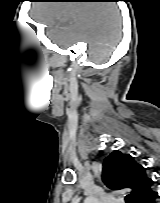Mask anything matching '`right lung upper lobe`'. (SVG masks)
I'll return each mask as SVG.
<instances>
[{"label": "right lung upper lobe", "instance_id": "cb5924a9", "mask_svg": "<svg viewBox=\"0 0 160 203\" xmlns=\"http://www.w3.org/2000/svg\"><path fill=\"white\" fill-rule=\"evenodd\" d=\"M103 182L112 190H130L133 203H143L153 192L154 181L147 176L146 168L134 157L113 151L103 163Z\"/></svg>", "mask_w": 160, "mask_h": 203}]
</instances>
